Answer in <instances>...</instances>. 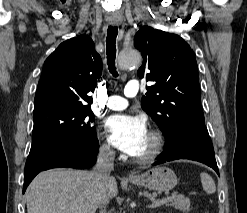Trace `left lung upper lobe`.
Returning <instances> with one entry per match:
<instances>
[{
  "instance_id": "left-lung-upper-lobe-1",
  "label": "left lung upper lobe",
  "mask_w": 247,
  "mask_h": 213,
  "mask_svg": "<svg viewBox=\"0 0 247 213\" xmlns=\"http://www.w3.org/2000/svg\"><path fill=\"white\" fill-rule=\"evenodd\" d=\"M134 46L143 56L138 76L155 83L147 87L141 106L166 140L174 139L180 126L205 124L197 62L187 42L143 26L135 35Z\"/></svg>"
}]
</instances>
